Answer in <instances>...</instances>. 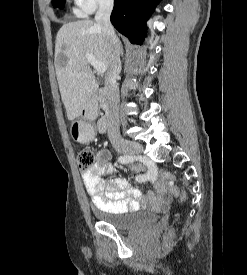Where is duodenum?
I'll return each instance as SVG.
<instances>
[{
    "label": "duodenum",
    "instance_id": "obj_1",
    "mask_svg": "<svg viewBox=\"0 0 247 275\" xmlns=\"http://www.w3.org/2000/svg\"><path fill=\"white\" fill-rule=\"evenodd\" d=\"M109 96L108 90H100L95 93L85 104V111L89 112L94 110L98 105L103 104L104 106V114L98 119L97 125L99 131L103 132L107 129L110 123V105L107 103Z\"/></svg>",
    "mask_w": 247,
    "mask_h": 275
}]
</instances>
